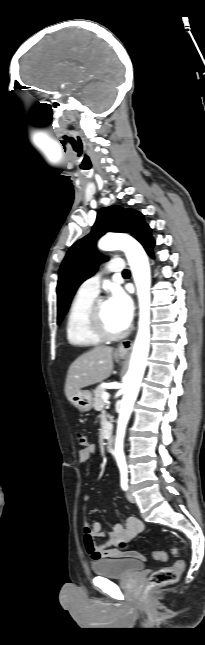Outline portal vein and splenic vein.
<instances>
[{
  "mask_svg": "<svg viewBox=\"0 0 205 645\" xmlns=\"http://www.w3.org/2000/svg\"><path fill=\"white\" fill-rule=\"evenodd\" d=\"M109 397H110V396H109V394H108L107 392H104V393H103V395H102V399H103L104 401H107V400L109 399Z\"/></svg>",
  "mask_w": 205,
  "mask_h": 645,
  "instance_id": "portal-vein-and-splenic-vein-1",
  "label": "portal vein and splenic vein"
}]
</instances>
